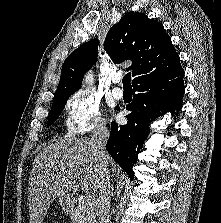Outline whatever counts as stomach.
Returning <instances> with one entry per match:
<instances>
[{
    "label": "stomach",
    "mask_w": 221,
    "mask_h": 223,
    "mask_svg": "<svg viewBox=\"0 0 221 223\" xmlns=\"http://www.w3.org/2000/svg\"><path fill=\"white\" fill-rule=\"evenodd\" d=\"M59 204L62 211L65 213H71L73 211V197L71 194H66L59 197Z\"/></svg>",
    "instance_id": "0dacf381"
}]
</instances>
